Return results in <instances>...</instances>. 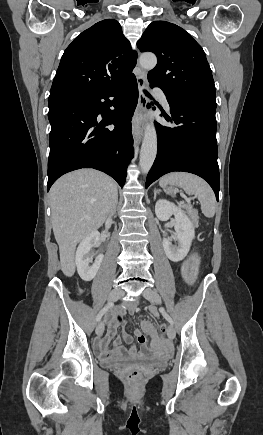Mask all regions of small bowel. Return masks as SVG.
Masks as SVG:
<instances>
[{
	"instance_id": "small-bowel-1",
	"label": "small bowel",
	"mask_w": 263,
	"mask_h": 435,
	"mask_svg": "<svg viewBox=\"0 0 263 435\" xmlns=\"http://www.w3.org/2000/svg\"><path fill=\"white\" fill-rule=\"evenodd\" d=\"M125 312L120 310L115 314L105 319L107 331L105 335L99 338L95 343L97 353L103 359H114L122 357L137 358L148 352L152 356H161L163 354V336L157 334L151 323L144 321L142 323L143 330L151 336V343L147 344L146 338L140 330L135 331V335L142 346V351L138 352L133 338L130 334L124 333L122 337H115L118 326L125 323ZM124 340L128 347L121 345ZM151 348V349H150Z\"/></svg>"
}]
</instances>
